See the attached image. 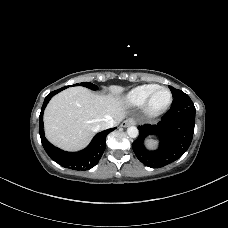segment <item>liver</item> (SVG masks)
Here are the masks:
<instances>
[{"label": "liver", "mask_w": 228, "mask_h": 228, "mask_svg": "<svg viewBox=\"0 0 228 228\" xmlns=\"http://www.w3.org/2000/svg\"><path fill=\"white\" fill-rule=\"evenodd\" d=\"M123 91V87L113 85L107 95L95 94L81 86L60 92L44 112L46 138L67 151L85 148L98 132L99 123L110 119L119 123L126 116Z\"/></svg>", "instance_id": "1"}]
</instances>
